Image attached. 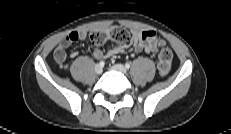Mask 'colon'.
<instances>
[{
	"label": "colon",
	"mask_w": 231,
	"mask_h": 134,
	"mask_svg": "<svg viewBox=\"0 0 231 134\" xmlns=\"http://www.w3.org/2000/svg\"><path fill=\"white\" fill-rule=\"evenodd\" d=\"M129 33L122 27L114 26L108 31L94 32L90 35V40L95 45H102L108 38L117 43H124L129 40ZM161 51L158 56V72L160 76H166L171 68L173 54L172 51L165 46L161 40L158 41Z\"/></svg>",
	"instance_id": "5ec220e1"
}]
</instances>
